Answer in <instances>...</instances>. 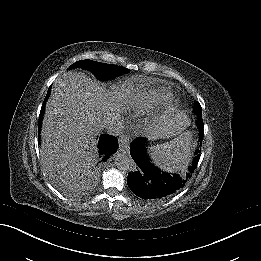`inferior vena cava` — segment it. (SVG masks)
<instances>
[{"mask_svg": "<svg viewBox=\"0 0 261 261\" xmlns=\"http://www.w3.org/2000/svg\"><path fill=\"white\" fill-rule=\"evenodd\" d=\"M103 127L108 134L113 135V136H119L124 131L123 122L118 117H113V118L108 119L104 123Z\"/></svg>", "mask_w": 261, "mask_h": 261, "instance_id": "inferior-vena-cava-1", "label": "inferior vena cava"}]
</instances>
